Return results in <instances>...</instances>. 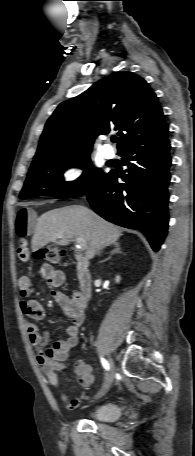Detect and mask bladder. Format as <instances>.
<instances>
[{
	"mask_svg": "<svg viewBox=\"0 0 195 456\" xmlns=\"http://www.w3.org/2000/svg\"><path fill=\"white\" fill-rule=\"evenodd\" d=\"M91 418L101 422H112L119 419L121 409L113 403H105L97 406L90 414Z\"/></svg>",
	"mask_w": 195,
	"mask_h": 456,
	"instance_id": "bladder-1",
	"label": "bladder"
}]
</instances>
